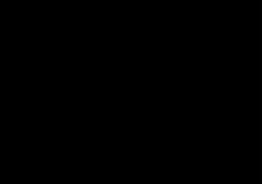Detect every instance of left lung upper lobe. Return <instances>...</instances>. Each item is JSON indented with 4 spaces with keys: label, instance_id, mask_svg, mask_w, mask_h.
I'll use <instances>...</instances> for the list:
<instances>
[{
    "label": "left lung upper lobe",
    "instance_id": "obj_1",
    "mask_svg": "<svg viewBox=\"0 0 262 184\" xmlns=\"http://www.w3.org/2000/svg\"><path fill=\"white\" fill-rule=\"evenodd\" d=\"M134 30L172 54L174 62L171 76L160 96L181 91L183 97L179 101L180 107H187L193 113L206 109L210 104V95L206 92L212 88L213 75L209 52L197 36L185 28L157 24L135 26ZM189 58H193V62L185 64L187 70L180 74L177 66ZM198 85H202V88ZM196 92L203 95L194 94Z\"/></svg>",
    "mask_w": 262,
    "mask_h": 184
}]
</instances>
